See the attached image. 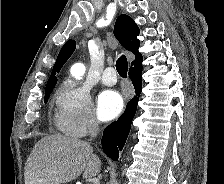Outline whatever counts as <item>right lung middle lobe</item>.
<instances>
[{"instance_id":"dd1d6c3e","label":"right lung middle lobe","mask_w":224,"mask_h":184,"mask_svg":"<svg viewBox=\"0 0 224 184\" xmlns=\"http://www.w3.org/2000/svg\"><path fill=\"white\" fill-rule=\"evenodd\" d=\"M51 92H52V90L45 91V98H44L45 103L47 102V100H48L49 95H50Z\"/></svg>"}]
</instances>
